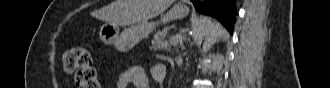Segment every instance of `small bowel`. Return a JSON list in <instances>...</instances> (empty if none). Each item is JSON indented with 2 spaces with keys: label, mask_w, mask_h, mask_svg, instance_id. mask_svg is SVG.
Masks as SVG:
<instances>
[{
  "label": "small bowel",
  "mask_w": 330,
  "mask_h": 88,
  "mask_svg": "<svg viewBox=\"0 0 330 88\" xmlns=\"http://www.w3.org/2000/svg\"><path fill=\"white\" fill-rule=\"evenodd\" d=\"M151 77L157 83H162L167 77V68L162 64L153 65ZM119 88H126L133 85L136 88H151V84L146 76L144 69L140 66H130L125 69L118 77Z\"/></svg>",
  "instance_id": "obj_1"
}]
</instances>
